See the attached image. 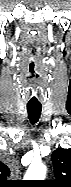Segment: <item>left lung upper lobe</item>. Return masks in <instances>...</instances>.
Segmentation results:
<instances>
[{
	"label": "left lung upper lobe",
	"mask_w": 71,
	"mask_h": 187,
	"mask_svg": "<svg viewBox=\"0 0 71 187\" xmlns=\"http://www.w3.org/2000/svg\"><path fill=\"white\" fill-rule=\"evenodd\" d=\"M51 159L56 180L48 183L55 187H71V148L56 149Z\"/></svg>",
	"instance_id": "1"
}]
</instances>
